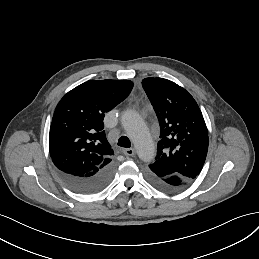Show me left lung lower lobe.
<instances>
[{"label": "left lung lower lobe", "mask_w": 259, "mask_h": 259, "mask_svg": "<svg viewBox=\"0 0 259 259\" xmlns=\"http://www.w3.org/2000/svg\"><path fill=\"white\" fill-rule=\"evenodd\" d=\"M148 182L158 190L176 193L186 189L193 180H186L179 176L158 177L149 171L146 172Z\"/></svg>", "instance_id": "1"}]
</instances>
